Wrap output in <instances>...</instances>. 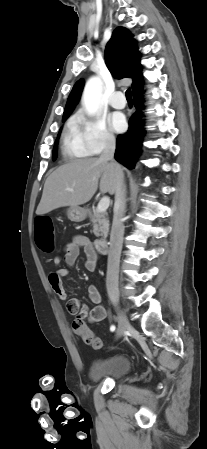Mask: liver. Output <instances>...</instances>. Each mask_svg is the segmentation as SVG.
I'll return each mask as SVG.
<instances>
[{"label": "liver", "instance_id": "liver-1", "mask_svg": "<svg viewBox=\"0 0 207 449\" xmlns=\"http://www.w3.org/2000/svg\"><path fill=\"white\" fill-rule=\"evenodd\" d=\"M98 184L102 193L114 194L117 188V167L100 158L78 159L61 165L47 178L36 214L43 215L59 207L85 204L97 191Z\"/></svg>", "mask_w": 207, "mask_h": 449}]
</instances>
